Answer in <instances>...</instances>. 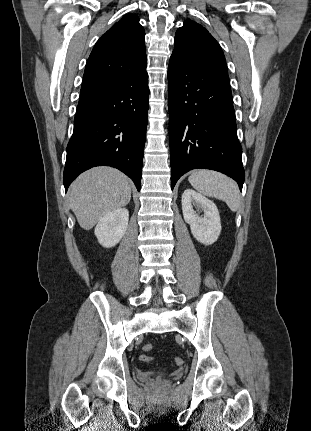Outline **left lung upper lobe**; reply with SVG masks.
Listing matches in <instances>:
<instances>
[{
    "label": "left lung upper lobe",
    "mask_w": 311,
    "mask_h": 431,
    "mask_svg": "<svg viewBox=\"0 0 311 431\" xmlns=\"http://www.w3.org/2000/svg\"><path fill=\"white\" fill-rule=\"evenodd\" d=\"M172 54L196 67L228 75L224 53L218 42L202 25L189 19L176 32Z\"/></svg>",
    "instance_id": "obj_1"
}]
</instances>
